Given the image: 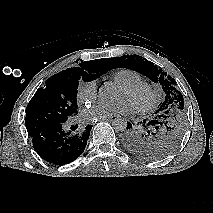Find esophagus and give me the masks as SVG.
Instances as JSON below:
<instances>
[{"label":"esophagus","mask_w":213,"mask_h":213,"mask_svg":"<svg viewBox=\"0 0 213 213\" xmlns=\"http://www.w3.org/2000/svg\"><path fill=\"white\" fill-rule=\"evenodd\" d=\"M116 119H117V117L113 116V117H107V118L99 119V121H102V120L113 121V120H116Z\"/></svg>","instance_id":"esophagus-1"}]
</instances>
